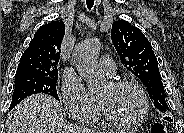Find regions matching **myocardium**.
<instances>
[{
	"label": "myocardium",
	"mask_w": 184,
	"mask_h": 133,
	"mask_svg": "<svg viewBox=\"0 0 184 133\" xmlns=\"http://www.w3.org/2000/svg\"><path fill=\"white\" fill-rule=\"evenodd\" d=\"M109 85L113 88H125V87H132L134 88L140 95L142 101V108L139 114L130 119H118L115 117L110 116L106 110L103 108L100 102L99 110L102 117L110 124L115 126H132L140 123L148 114L149 111V99L145 89L139 84L137 81L134 80H116L109 82Z\"/></svg>",
	"instance_id": "1"
}]
</instances>
